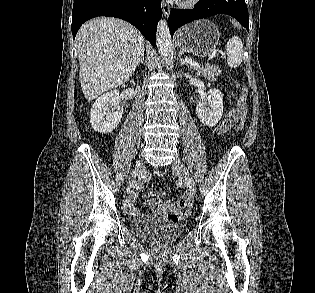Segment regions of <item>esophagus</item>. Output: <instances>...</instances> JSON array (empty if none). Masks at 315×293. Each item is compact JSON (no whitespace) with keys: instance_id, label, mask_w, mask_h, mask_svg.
I'll return each mask as SVG.
<instances>
[{"instance_id":"1","label":"esophagus","mask_w":315,"mask_h":293,"mask_svg":"<svg viewBox=\"0 0 315 293\" xmlns=\"http://www.w3.org/2000/svg\"><path fill=\"white\" fill-rule=\"evenodd\" d=\"M162 11H163V14H164L165 17L169 16L170 6L164 1H162Z\"/></svg>"}]
</instances>
